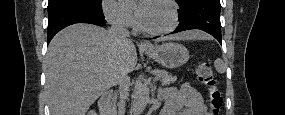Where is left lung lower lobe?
I'll list each match as a JSON object with an SVG mask.
<instances>
[{
	"mask_svg": "<svg viewBox=\"0 0 285 115\" xmlns=\"http://www.w3.org/2000/svg\"><path fill=\"white\" fill-rule=\"evenodd\" d=\"M220 8V0H190L180 8V23L172 33L200 29L221 43Z\"/></svg>",
	"mask_w": 285,
	"mask_h": 115,
	"instance_id": "1",
	"label": "left lung lower lobe"
}]
</instances>
